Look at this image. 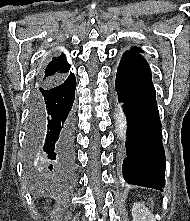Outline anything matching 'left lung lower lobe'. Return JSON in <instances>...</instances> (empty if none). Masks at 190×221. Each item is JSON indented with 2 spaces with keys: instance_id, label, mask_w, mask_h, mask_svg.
Here are the masks:
<instances>
[{
  "instance_id": "left-lung-lower-lobe-1",
  "label": "left lung lower lobe",
  "mask_w": 190,
  "mask_h": 221,
  "mask_svg": "<svg viewBox=\"0 0 190 221\" xmlns=\"http://www.w3.org/2000/svg\"><path fill=\"white\" fill-rule=\"evenodd\" d=\"M115 88L127 119L123 177L128 184L161 190L165 152L151 70L145 59L123 54Z\"/></svg>"
}]
</instances>
